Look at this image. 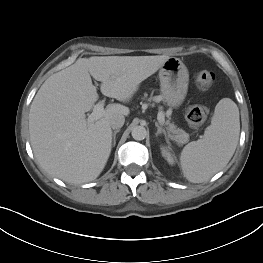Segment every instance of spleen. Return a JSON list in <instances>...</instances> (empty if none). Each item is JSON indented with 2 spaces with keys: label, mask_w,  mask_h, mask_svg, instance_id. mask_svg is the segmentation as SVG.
I'll return each instance as SVG.
<instances>
[{
  "label": "spleen",
  "mask_w": 263,
  "mask_h": 263,
  "mask_svg": "<svg viewBox=\"0 0 263 263\" xmlns=\"http://www.w3.org/2000/svg\"><path fill=\"white\" fill-rule=\"evenodd\" d=\"M239 133V109L231 99L223 98L203 138L188 143L181 152L180 164L186 179L201 183L221 170L235 152Z\"/></svg>",
  "instance_id": "3e777b00"
}]
</instances>
